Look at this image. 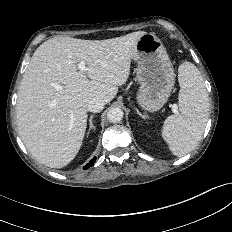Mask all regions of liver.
Listing matches in <instances>:
<instances>
[{
	"label": "liver",
	"instance_id": "liver-1",
	"mask_svg": "<svg viewBox=\"0 0 232 232\" xmlns=\"http://www.w3.org/2000/svg\"><path fill=\"white\" fill-rule=\"evenodd\" d=\"M145 31L105 40L54 37L34 52L18 92L19 135L31 155L51 168L77 155L87 128V104H107L126 83L131 59ZM84 61L88 70L81 72Z\"/></svg>",
	"mask_w": 232,
	"mask_h": 232
}]
</instances>
